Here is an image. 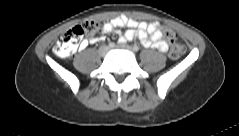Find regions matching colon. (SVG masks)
I'll use <instances>...</instances> for the list:
<instances>
[{
  "label": "colon",
  "instance_id": "obj_1",
  "mask_svg": "<svg viewBox=\"0 0 239 136\" xmlns=\"http://www.w3.org/2000/svg\"><path fill=\"white\" fill-rule=\"evenodd\" d=\"M101 22L98 20H88L81 25H77L64 33L57 41L55 46V53L60 57H66L74 53L86 35L89 37L95 36L101 30ZM165 37L170 41L169 56L171 59H179L185 51L184 45L176 42V33L169 29H164Z\"/></svg>",
  "mask_w": 239,
  "mask_h": 136
}]
</instances>
